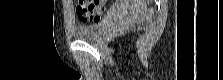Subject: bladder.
Here are the masks:
<instances>
[{
    "label": "bladder",
    "mask_w": 223,
    "mask_h": 80,
    "mask_svg": "<svg viewBox=\"0 0 223 80\" xmlns=\"http://www.w3.org/2000/svg\"><path fill=\"white\" fill-rule=\"evenodd\" d=\"M108 18L103 21L91 25H77L74 27L72 35L77 40L96 41L104 33L106 22Z\"/></svg>",
    "instance_id": "1"
}]
</instances>
